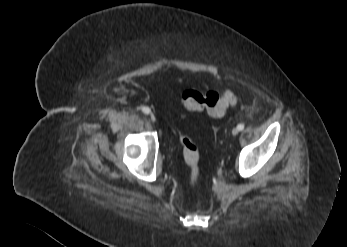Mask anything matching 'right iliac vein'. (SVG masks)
Returning a JSON list of instances; mask_svg holds the SVG:
<instances>
[{
	"label": "right iliac vein",
	"mask_w": 347,
	"mask_h": 247,
	"mask_svg": "<svg viewBox=\"0 0 347 247\" xmlns=\"http://www.w3.org/2000/svg\"><path fill=\"white\" fill-rule=\"evenodd\" d=\"M149 119H150V121H152V122H155V121H156V117H155V115L152 114V113H150Z\"/></svg>",
	"instance_id": "1"
}]
</instances>
